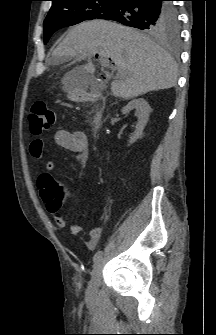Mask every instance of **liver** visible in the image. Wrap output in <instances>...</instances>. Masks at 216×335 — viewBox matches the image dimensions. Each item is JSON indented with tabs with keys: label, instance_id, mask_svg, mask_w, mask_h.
I'll return each instance as SVG.
<instances>
[{
	"label": "liver",
	"instance_id": "liver-1",
	"mask_svg": "<svg viewBox=\"0 0 216 335\" xmlns=\"http://www.w3.org/2000/svg\"><path fill=\"white\" fill-rule=\"evenodd\" d=\"M110 58L117 70L111 83L115 97L131 99L149 91L176 85L177 65L169 53L143 33L111 21L92 20L73 27L52 53L56 62L65 58ZM95 71L88 63L68 72L64 91L80 87Z\"/></svg>",
	"mask_w": 216,
	"mask_h": 335
}]
</instances>
